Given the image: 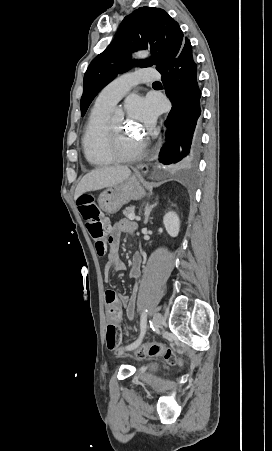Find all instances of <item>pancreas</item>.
Returning <instances> with one entry per match:
<instances>
[{
    "instance_id": "pancreas-1",
    "label": "pancreas",
    "mask_w": 272,
    "mask_h": 451,
    "mask_svg": "<svg viewBox=\"0 0 272 451\" xmlns=\"http://www.w3.org/2000/svg\"><path fill=\"white\" fill-rule=\"evenodd\" d=\"M134 210L135 206H129V208H125V210H123V214L126 218H128L129 214H133Z\"/></svg>"
}]
</instances>
